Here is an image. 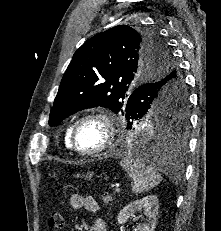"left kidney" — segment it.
Segmentation results:
<instances>
[{
  "mask_svg": "<svg viewBox=\"0 0 221 231\" xmlns=\"http://www.w3.org/2000/svg\"><path fill=\"white\" fill-rule=\"evenodd\" d=\"M142 209L146 214L147 220L144 224L138 225L134 231H154L159 210V200L155 195H148L125 206L117 216L118 224H124L129 217Z\"/></svg>",
  "mask_w": 221,
  "mask_h": 231,
  "instance_id": "1",
  "label": "left kidney"
}]
</instances>
